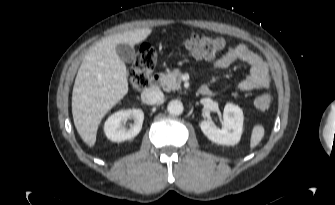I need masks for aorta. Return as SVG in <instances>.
Here are the masks:
<instances>
[{"label": "aorta", "instance_id": "762f6f07", "mask_svg": "<svg viewBox=\"0 0 335 205\" xmlns=\"http://www.w3.org/2000/svg\"><path fill=\"white\" fill-rule=\"evenodd\" d=\"M183 104L179 100H172L168 103L167 110L171 115H181L183 112Z\"/></svg>", "mask_w": 335, "mask_h": 205}]
</instances>
